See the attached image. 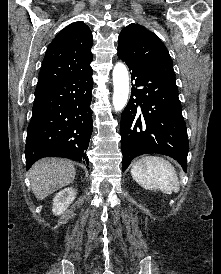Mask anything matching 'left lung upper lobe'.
<instances>
[{
	"instance_id": "5c2ea615",
	"label": "left lung upper lobe",
	"mask_w": 221,
	"mask_h": 274,
	"mask_svg": "<svg viewBox=\"0 0 221 274\" xmlns=\"http://www.w3.org/2000/svg\"><path fill=\"white\" fill-rule=\"evenodd\" d=\"M118 52L142 66L175 80L172 59L156 34L139 24L125 27L118 38Z\"/></svg>"
}]
</instances>
